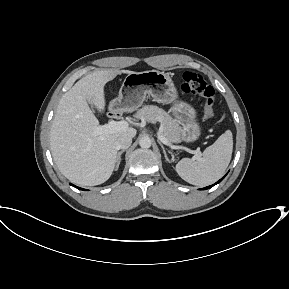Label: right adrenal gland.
Instances as JSON below:
<instances>
[{"mask_svg":"<svg viewBox=\"0 0 289 289\" xmlns=\"http://www.w3.org/2000/svg\"><path fill=\"white\" fill-rule=\"evenodd\" d=\"M125 151H126V149H123V150H121V151L118 152L115 170H118L119 165H120V162H121V155H122V153L125 152Z\"/></svg>","mask_w":289,"mask_h":289,"instance_id":"2a0ac1e0","label":"right adrenal gland"}]
</instances>
